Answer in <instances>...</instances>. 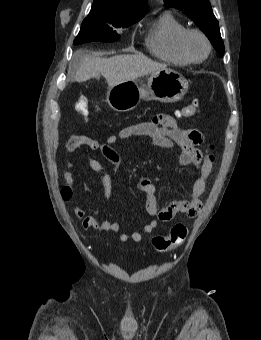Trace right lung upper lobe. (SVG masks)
<instances>
[{"mask_svg":"<svg viewBox=\"0 0 261 340\" xmlns=\"http://www.w3.org/2000/svg\"><path fill=\"white\" fill-rule=\"evenodd\" d=\"M147 0H94L91 10L119 18H142Z\"/></svg>","mask_w":261,"mask_h":340,"instance_id":"cb5924a9","label":"right lung upper lobe"}]
</instances>
